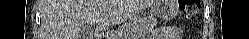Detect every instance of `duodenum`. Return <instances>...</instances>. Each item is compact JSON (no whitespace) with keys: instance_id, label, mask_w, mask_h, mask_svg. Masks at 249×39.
<instances>
[{"instance_id":"410a0bca","label":"duodenum","mask_w":249,"mask_h":39,"mask_svg":"<svg viewBox=\"0 0 249 39\" xmlns=\"http://www.w3.org/2000/svg\"><path fill=\"white\" fill-rule=\"evenodd\" d=\"M101 38H102V39H107V36H106V35H102Z\"/></svg>"}]
</instances>
